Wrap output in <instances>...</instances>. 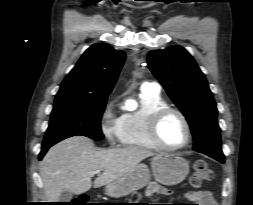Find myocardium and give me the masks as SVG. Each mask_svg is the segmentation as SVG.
<instances>
[{
  "label": "myocardium",
  "mask_w": 253,
  "mask_h": 205,
  "mask_svg": "<svg viewBox=\"0 0 253 205\" xmlns=\"http://www.w3.org/2000/svg\"><path fill=\"white\" fill-rule=\"evenodd\" d=\"M171 114L177 115L183 122L186 129L185 141L177 146H170L165 144L160 137V127L162 122ZM148 135L152 143L161 150L165 151H176L186 147L192 137L191 125L183 112L180 110L167 106L155 111L148 122Z\"/></svg>",
  "instance_id": "myocardium-1"
}]
</instances>
